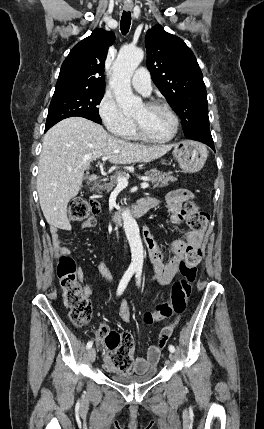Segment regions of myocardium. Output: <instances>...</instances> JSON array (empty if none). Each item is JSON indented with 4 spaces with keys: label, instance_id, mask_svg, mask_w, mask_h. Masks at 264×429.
Masks as SVG:
<instances>
[{
    "label": "myocardium",
    "instance_id": "myocardium-1",
    "mask_svg": "<svg viewBox=\"0 0 264 429\" xmlns=\"http://www.w3.org/2000/svg\"><path fill=\"white\" fill-rule=\"evenodd\" d=\"M145 106L149 109H161V110L166 111L170 115V117L173 119L174 128H173L172 133L168 137L163 138V139H155V138L150 137L145 132L143 126L141 125V123L139 121L134 119V126H135L137 136L145 142L154 143V144H163V143H167V142L172 141L176 137V135L178 134V131H179L180 121H179L178 115L174 112V110L169 105H167L166 103H163V102L150 101V102H147L145 104Z\"/></svg>",
    "mask_w": 264,
    "mask_h": 429
}]
</instances>
